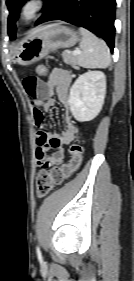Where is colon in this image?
Returning a JSON list of instances; mask_svg holds the SVG:
<instances>
[{"instance_id":"colon-1","label":"colon","mask_w":134,"mask_h":281,"mask_svg":"<svg viewBox=\"0 0 134 281\" xmlns=\"http://www.w3.org/2000/svg\"><path fill=\"white\" fill-rule=\"evenodd\" d=\"M48 68L44 64L36 67L38 76H45ZM70 159L61 166L52 167L49 170H41L36 177V192L39 197L47 195L54 187L61 185L75 171L79 169L83 158V147L79 143H73L69 148Z\"/></svg>"}]
</instances>
